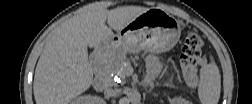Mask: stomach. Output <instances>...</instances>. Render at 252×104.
Wrapping results in <instances>:
<instances>
[{"mask_svg":"<svg viewBox=\"0 0 252 104\" xmlns=\"http://www.w3.org/2000/svg\"><path fill=\"white\" fill-rule=\"evenodd\" d=\"M180 33L181 25L176 18L162 9L152 8L127 24L97 50L114 57L141 50L162 53L176 45Z\"/></svg>","mask_w":252,"mask_h":104,"instance_id":"0dacf381","label":"stomach"}]
</instances>
